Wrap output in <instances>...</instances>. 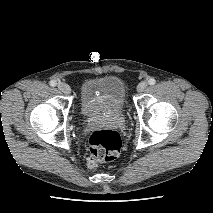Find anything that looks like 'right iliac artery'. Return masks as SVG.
I'll return each instance as SVG.
<instances>
[{
  "label": "right iliac artery",
  "instance_id": "right-iliac-artery-1",
  "mask_svg": "<svg viewBox=\"0 0 213 213\" xmlns=\"http://www.w3.org/2000/svg\"><path fill=\"white\" fill-rule=\"evenodd\" d=\"M49 84H50V86H52V87H54V86H56V81L55 80H51L50 82H49Z\"/></svg>",
  "mask_w": 213,
  "mask_h": 213
}]
</instances>
